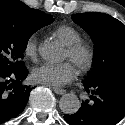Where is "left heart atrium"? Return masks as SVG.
<instances>
[{
    "instance_id": "1",
    "label": "left heart atrium",
    "mask_w": 125,
    "mask_h": 125,
    "mask_svg": "<svg viewBox=\"0 0 125 125\" xmlns=\"http://www.w3.org/2000/svg\"><path fill=\"white\" fill-rule=\"evenodd\" d=\"M76 76V69L72 62L44 63L34 68L32 79L40 84L60 87L70 83Z\"/></svg>"
}]
</instances>
